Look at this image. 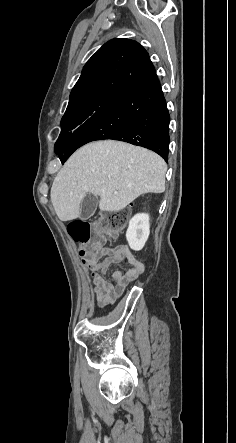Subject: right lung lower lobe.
Here are the masks:
<instances>
[{"mask_svg": "<svg viewBox=\"0 0 236 443\" xmlns=\"http://www.w3.org/2000/svg\"><path fill=\"white\" fill-rule=\"evenodd\" d=\"M170 116L160 82L152 66L130 87L111 95L69 141L56 151L62 164L80 146L114 139L153 150L166 161Z\"/></svg>", "mask_w": 236, "mask_h": 443, "instance_id": "98d812e1", "label": "right lung lower lobe"}]
</instances>
